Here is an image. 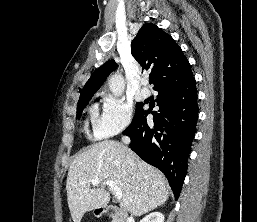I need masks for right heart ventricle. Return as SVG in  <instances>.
I'll list each match as a JSON object with an SVG mask.
<instances>
[{
  "label": "right heart ventricle",
  "mask_w": 257,
  "mask_h": 222,
  "mask_svg": "<svg viewBox=\"0 0 257 222\" xmlns=\"http://www.w3.org/2000/svg\"><path fill=\"white\" fill-rule=\"evenodd\" d=\"M92 112H93V113H95V112H96V108H95V107H93Z\"/></svg>",
  "instance_id": "1"
}]
</instances>
